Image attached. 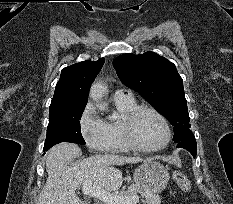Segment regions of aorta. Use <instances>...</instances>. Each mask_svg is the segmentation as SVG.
<instances>
[{
	"mask_svg": "<svg viewBox=\"0 0 233 204\" xmlns=\"http://www.w3.org/2000/svg\"><path fill=\"white\" fill-rule=\"evenodd\" d=\"M107 93V87L101 82H95L90 89V97L96 102L97 106L101 109H107V105H102L100 101Z\"/></svg>",
	"mask_w": 233,
	"mask_h": 204,
	"instance_id": "aorta-1",
	"label": "aorta"
}]
</instances>
